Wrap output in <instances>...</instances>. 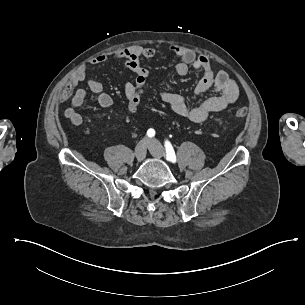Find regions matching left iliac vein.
<instances>
[{
	"label": "left iliac vein",
	"mask_w": 305,
	"mask_h": 305,
	"mask_svg": "<svg viewBox=\"0 0 305 305\" xmlns=\"http://www.w3.org/2000/svg\"><path fill=\"white\" fill-rule=\"evenodd\" d=\"M148 149L155 158H162L164 149L161 144L154 138L148 141Z\"/></svg>",
	"instance_id": "4c4485c4"
}]
</instances>
